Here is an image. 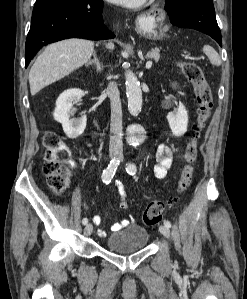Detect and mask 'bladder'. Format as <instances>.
Listing matches in <instances>:
<instances>
[{"instance_id": "bladder-1", "label": "bladder", "mask_w": 247, "mask_h": 299, "mask_svg": "<svg viewBox=\"0 0 247 299\" xmlns=\"http://www.w3.org/2000/svg\"><path fill=\"white\" fill-rule=\"evenodd\" d=\"M149 241L146 228L131 224L111 234L105 242L106 248L114 253L128 254L145 248Z\"/></svg>"}]
</instances>
